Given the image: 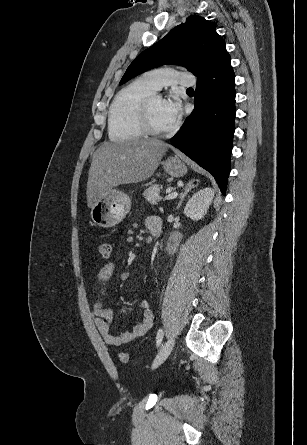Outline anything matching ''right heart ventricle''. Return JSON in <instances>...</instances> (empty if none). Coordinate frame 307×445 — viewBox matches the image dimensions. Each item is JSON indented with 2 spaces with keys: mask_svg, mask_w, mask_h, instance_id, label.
<instances>
[{
  "mask_svg": "<svg viewBox=\"0 0 307 445\" xmlns=\"http://www.w3.org/2000/svg\"><path fill=\"white\" fill-rule=\"evenodd\" d=\"M154 92L147 80H138L116 96L108 115L110 139L146 140L139 109Z\"/></svg>",
  "mask_w": 307,
  "mask_h": 445,
  "instance_id": "right-heart-ventricle-1",
  "label": "right heart ventricle"
}]
</instances>
